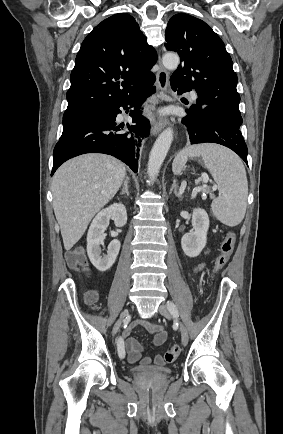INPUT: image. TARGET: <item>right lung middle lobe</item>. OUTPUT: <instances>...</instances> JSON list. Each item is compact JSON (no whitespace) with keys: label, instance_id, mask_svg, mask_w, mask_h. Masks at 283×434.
I'll return each instance as SVG.
<instances>
[{"label":"right lung middle lobe","instance_id":"obj_1","mask_svg":"<svg viewBox=\"0 0 283 434\" xmlns=\"http://www.w3.org/2000/svg\"><path fill=\"white\" fill-rule=\"evenodd\" d=\"M70 122H72V121H68V120H63V126H65V125L69 124Z\"/></svg>","mask_w":283,"mask_h":434}]
</instances>
